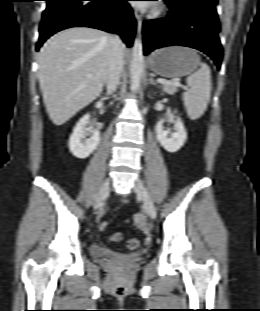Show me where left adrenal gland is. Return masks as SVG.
<instances>
[{
  "mask_svg": "<svg viewBox=\"0 0 260 311\" xmlns=\"http://www.w3.org/2000/svg\"><path fill=\"white\" fill-rule=\"evenodd\" d=\"M149 83L152 85H157V83L153 80L152 77L149 78Z\"/></svg>",
  "mask_w": 260,
  "mask_h": 311,
  "instance_id": "a2214340",
  "label": "left adrenal gland"
}]
</instances>
